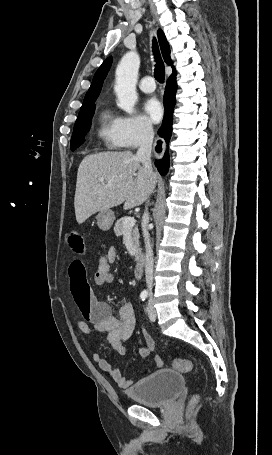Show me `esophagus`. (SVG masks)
Segmentation results:
<instances>
[{
  "instance_id": "34e87169",
  "label": "esophagus",
  "mask_w": 272,
  "mask_h": 455,
  "mask_svg": "<svg viewBox=\"0 0 272 455\" xmlns=\"http://www.w3.org/2000/svg\"><path fill=\"white\" fill-rule=\"evenodd\" d=\"M162 150V147H161V143L158 142L157 146H156V151L157 152H160Z\"/></svg>"
}]
</instances>
